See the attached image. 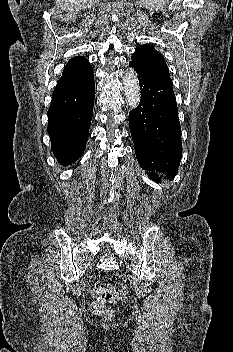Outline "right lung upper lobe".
<instances>
[{
	"mask_svg": "<svg viewBox=\"0 0 233 352\" xmlns=\"http://www.w3.org/2000/svg\"><path fill=\"white\" fill-rule=\"evenodd\" d=\"M91 65L85 57L77 56L73 57L65 66L62 76L59 81L68 80L77 77L87 70H89Z\"/></svg>",
	"mask_w": 233,
	"mask_h": 352,
	"instance_id": "1",
	"label": "right lung upper lobe"
}]
</instances>
